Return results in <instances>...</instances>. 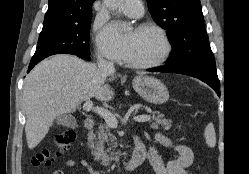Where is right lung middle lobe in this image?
Returning a JSON list of instances; mask_svg holds the SVG:
<instances>
[{"instance_id": "right-lung-middle-lobe-1", "label": "right lung middle lobe", "mask_w": 249, "mask_h": 174, "mask_svg": "<svg viewBox=\"0 0 249 174\" xmlns=\"http://www.w3.org/2000/svg\"><path fill=\"white\" fill-rule=\"evenodd\" d=\"M91 18L80 23L42 29L31 62L54 54H90Z\"/></svg>"}]
</instances>
